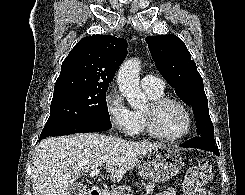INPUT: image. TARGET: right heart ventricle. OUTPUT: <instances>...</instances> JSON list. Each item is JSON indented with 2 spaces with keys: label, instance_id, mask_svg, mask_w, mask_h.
Here are the masks:
<instances>
[{
  "label": "right heart ventricle",
  "instance_id": "1",
  "mask_svg": "<svg viewBox=\"0 0 245 195\" xmlns=\"http://www.w3.org/2000/svg\"><path fill=\"white\" fill-rule=\"evenodd\" d=\"M146 93L149 96V98L151 99V101H153V100H156L160 97H163L164 91H160V92L146 91ZM134 118H135V129H134V132L132 134L137 135L144 130L142 112L141 111L134 112Z\"/></svg>",
  "mask_w": 245,
  "mask_h": 195
}]
</instances>
